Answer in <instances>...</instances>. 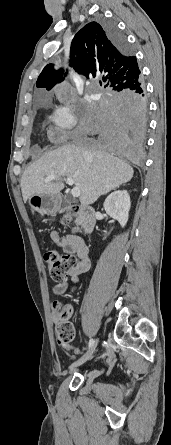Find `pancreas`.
<instances>
[{
	"instance_id": "obj_1",
	"label": "pancreas",
	"mask_w": 171,
	"mask_h": 445,
	"mask_svg": "<svg viewBox=\"0 0 171 445\" xmlns=\"http://www.w3.org/2000/svg\"><path fill=\"white\" fill-rule=\"evenodd\" d=\"M76 223H77V224H80V222H79V221H76Z\"/></svg>"
}]
</instances>
